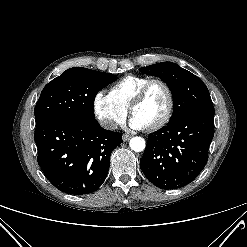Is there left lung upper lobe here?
<instances>
[{
  "mask_svg": "<svg viewBox=\"0 0 247 247\" xmlns=\"http://www.w3.org/2000/svg\"><path fill=\"white\" fill-rule=\"evenodd\" d=\"M140 72L157 76L168 85L173 96V114L169 122L192 114L214 117V107L206 85L191 72L172 62L142 67Z\"/></svg>",
  "mask_w": 247,
  "mask_h": 247,
  "instance_id": "obj_1",
  "label": "left lung upper lobe"
}]
</instances>
